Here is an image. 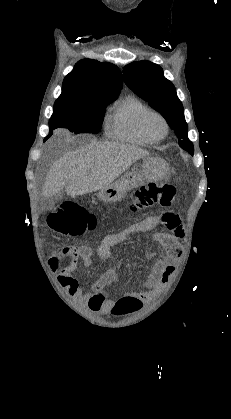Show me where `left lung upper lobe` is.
<instances>
[{
  "mask_svg": "<svg viewBox=\"0 0 231 419\" xmlns=\"http://www.w3.org/2000/svg\"><path fill=\"white\" fill-rule=\"evenodd\" d=\"M123 75L127 86L166 119L178 137L179 146L193 154V144L187 136L188 126L183 105L172 82L164 77L163 69L143 60L126 65Z\"/></svg>",
  "mask_w": 231,
  "mask_h": 419,
  "instance_id": "1",
  "label": "left lung upper lobe"
}]
</instances>
